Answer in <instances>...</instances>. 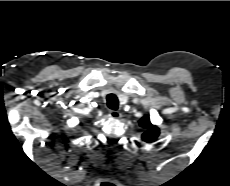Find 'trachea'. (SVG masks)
Masks as SVG:
<instances>
[{
    "label": "trachea",
    "mask_w": 230,
    "mask_h": 186,
    "mask_svg": "<svg viewBox=\"0 0 230 186\" xmlns=\"http://www.w3.org/2000/svg\"><path fill=\"white\" fill-rule=\"evenodd\" d=\"M106 101H107V106L108 108L112 109V110H117L118 109V98L115 94H108L106 97Z\"/></svg>",
    "instance_id": "trachea-1"
}]
</instances>
